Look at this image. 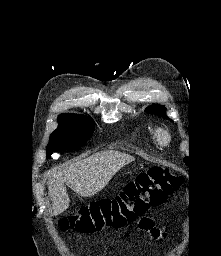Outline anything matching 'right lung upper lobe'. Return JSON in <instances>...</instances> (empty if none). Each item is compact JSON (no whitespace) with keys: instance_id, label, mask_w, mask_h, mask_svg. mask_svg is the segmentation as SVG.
Here are the masks:
<instances>
[{"instance_id":"cb5924a9","label":"right lung upper lobe","mask_w":221,"mask_h":256,"mask_svg":"<svg viewBox=\"0 0 221 256\" xmlns=\"http://www.w3.org/2000/svg\"><path fill=\"white\" fill-rule=\"evenodd\" d=\"M64 115H72V114H61L60 116H64Z\"/></svg>"}]
</instances>
